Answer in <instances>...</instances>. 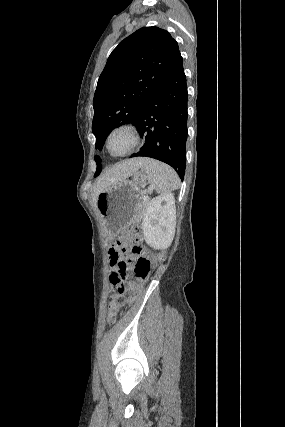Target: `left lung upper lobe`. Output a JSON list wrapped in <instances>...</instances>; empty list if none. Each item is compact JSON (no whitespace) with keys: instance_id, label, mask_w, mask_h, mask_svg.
<instances>
[{"instance_id":"obj_1","label":"left lung upper lobe","mask_w":285,"mask_h":427,"mask_svg":"<svg viewBox=\"0 0 285 427\" xmlns=\"http://www.w3.org/2000/svg\"><path fill=\"white\" fill-rule=\"evenodd\" d=\"M179 56L178 43L158 27H143L118 44L107 60L94 95L92 132L96 149H102L115 127L135 123ZM94 159L96 177L102 166L99 156Z\"/></svg>"}]
</instances>
